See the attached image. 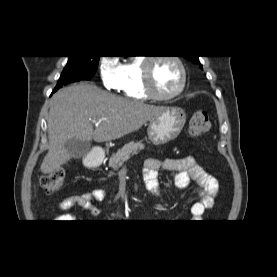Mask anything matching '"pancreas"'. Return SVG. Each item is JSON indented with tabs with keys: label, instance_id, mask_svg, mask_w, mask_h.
Instances as JSON below:
<instances>
[{
	"label": "pancreas",
	"instance_id": "pancreas-1",
	"mask_svg": "<svg viewBox=\"0 0 277 277\" xmlns=\"http://www.w3.org/2000/svg\"><path fill=\"white\" fill-rule=\"evenodd\" d=\"M144 147L141 142H129L110 158L109 167L118 170L131 156L137 154L139 150H143Z\"/></svg>",
	"mask_w": 277,
	"mask_h": 277
}]
</instances>
